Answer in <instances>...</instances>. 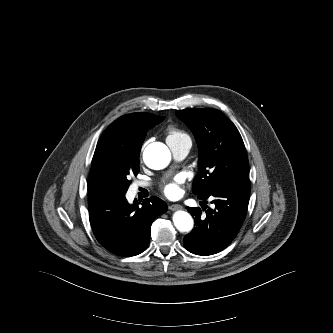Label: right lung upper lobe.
<instances>
[{
    "instance_id": "right-lung-upper-lobe-1",
    "label": "right lung upper lobe",
    "mask_w": 333,
    "mask_h": 333,
    "mask_svg": "<svg viewBox=\"0 0 333 333\" xmlns=\"http://www.w3.org/2000/svg\"><path fill=\"white\" fill-rule=\"evenodd\" d=\"M164 120L148 113H131L115 120L102 134L92 159L90 197L112 196L106 156L120 148L142 146L147 131Z\"/></svg>"
}]
</instances>
